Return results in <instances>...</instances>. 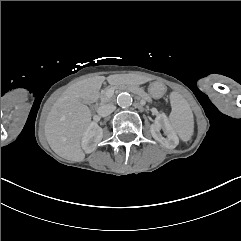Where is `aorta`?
<instances>
[{"label":"aorta","instance_id":"aorta-1","mask_svg":"<svg viewBox=\"0 0 241 241\" xmlns=\"http://www.w3.org/2000/svg\"><path fill=\"white\" fill-rule=\"evenodd\" d=\"M132 97L129 93H120L117 97V104L122 108H127L132 104Z\"/></svg>","mask_w":241,"mask_h":241}]
</instances>
